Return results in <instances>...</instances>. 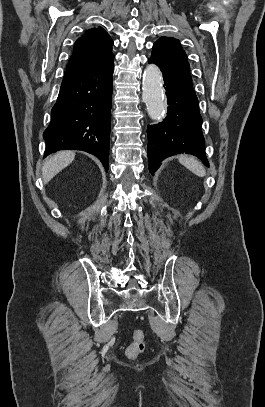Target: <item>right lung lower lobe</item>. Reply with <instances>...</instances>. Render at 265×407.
<instances>
[{"label": "right lung lower lobe", "instance_id": "obj_1", "mask_svg": "<svg viewBox=\"0 0 265 407\" xmlns=\"http://www.w3.org/2000/svg\"><path fill=\"white\" fill-rule=\"evenodd\" d=\"M113 59L110 54L64 77L43 134L45 156L59 150H82L98 157L108 171Z\"/></svg>", "mask_w": 265, "mask_h": 407}]
</instances>
